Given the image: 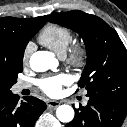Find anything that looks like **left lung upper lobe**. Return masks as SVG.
Instances as JSON below:
<instances>
[{
	"instance_id": "left-lung-upper-lobe-1",
	"label": "left lung upper lobe",
	"mask_w": 127,
	"mask_h": 127,
	"mask_svg": "<svg viewBox=\"0 0 127 127\" xmlns=\"http://www.w3.org/2000/svg\"><path fill=\"white\" fill-rule=\"evenodd\" d=\"M49 21L74 30L85 42L87 63L79 87H85L87 94L101 90L127 93V51L106 22L78 10L56 13Z\"/></svg>"
}]
</instances>
